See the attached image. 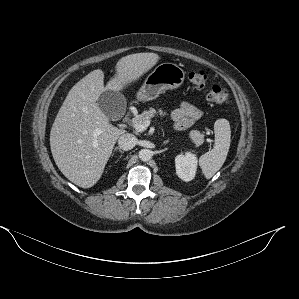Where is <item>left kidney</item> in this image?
Wrapping results in <instances>:
<instances>
[{"mask_svg":"<svg viewBox=\"0 0 299 299\" xmlns=\"http://www.w3.org/2000/svg\"><path fill=\"white\" fill-rule=\"evenodd\" d=\"M197 157L191 152L180 154L175 158L176 173L183 181L194 179L197 169Z\"/></svg>","mask_w":299,"mask_h":299,"instance_id":"left-kidney-1","label":"left kidney"}]
</instances>
